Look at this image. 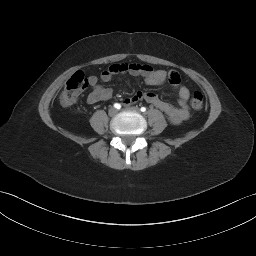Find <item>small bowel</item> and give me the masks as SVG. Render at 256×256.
I'll list each match as a JSON object with an SVG mask.
<instances>
[{
  "label": "small bowel",
  "mask_w": 256,
  "mask_h": 256,
  "mask_svg": "<svg viewBox=\"0 0 256 256\" xmlns=\"http://www.w3.org/2000/svg\"><path fill=\"white\" fill-rule=\"evenodd\" d=\"M120 73H129L133 76H141L145 84L149 86L162 85L168 82L178 92V106L160 99L152 92H137L130 97L123 99L125 106H132L135 103L144 101L161 110L173 123H180L187 119L189 115L187 102L190 96L189 89L181 84L180 76L177 71L170 70L166 72L161 69H154L150 65L140 63H118L103 70L100 74V80L109 82L113 77ZM89 85L92 91L88 94L86 101L88 104H95L99 101H106L112 98L113 90L104 87L98 83L97 76H89Z\"/></svg>",
  "instance_id": "small-bowel-1"
}]
</instances>
